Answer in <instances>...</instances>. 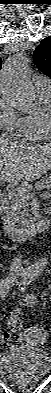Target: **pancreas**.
Returning a JSON list of instances; mask_svg holds the SVG:
<instances>
[{
	"instance_id": "cf45deb5",
	"label": "pancreas",
	"mask_w": 51,
	"mask_h": 393,
	"mask_svg": "<svg viewBox=\"0 0 51 393\" xmlns=\"http://www.w3.org/2000/svg\"><path fill=\"white\" fill-rule=\"evenodd\" d=\"M36 186H43L49 188L51 186V178L49 176L43 177L40 181L35 183ZM30 192L31 185L25 184L21 186ZM28 198L24 193L19 192L16 188L12 189L8 196V216L18 226H26L32 220L28 213ZM29 217V218H28Z\"/></svg>"
}]
</instances>
